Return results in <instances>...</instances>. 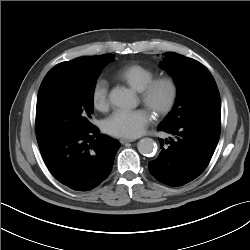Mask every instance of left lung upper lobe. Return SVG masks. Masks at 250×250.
Wrapping results in <instances>:
<instances>
[{"label":"left lung upper lobe","instance_id":"left-lung-upper-lobe-1","mask_svg":"<svg viewBox=\"0 0 250 250\" xmlns=\"http://www.w3.org/2000/svg\"><path fill=\"white\" fill-rule=\"evenodd\" d=\"M160 67L174 78L178 94L176 103L160 125L176 127L188 119L220 114V95L209 70L198 61L166 52Z\"/></svg>","mask_w":250,"mask_h":250}]
</instances>
